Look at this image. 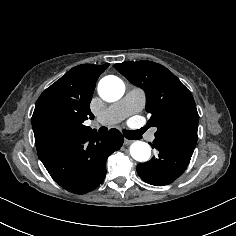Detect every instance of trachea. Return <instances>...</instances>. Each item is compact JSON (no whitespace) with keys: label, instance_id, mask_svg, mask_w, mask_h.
Segmentation results:
<instances>
[{"label":"trachea","instance_id":"1","mask_svg":"<svg viewBox=\"0 0 236 236\" xmlns=\"http://www.w3.org/2000/svg\"><path fill=\"white\" fill-rule=\"evenodd\" d=\"M101 130L103 131L102 133H106L108 131L107 127H101ZM130 132L131 131L124 132L125 137L128 138V139H131Z\"/></svg>","mask_w":236,"mask_h":236}]
</instances>
